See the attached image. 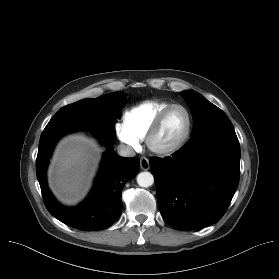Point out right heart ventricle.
<instances>
[{"mask_svg":"<svg viewBox=\"0 0 279 279\" xmlns=\"http://www.w3.org/2000/svg\"><path fill=\"white\" fill-rule=\"evenodd\" d=\"M173 103L163 100L144 101L123 115V125L138 139H144L154 120Z\"/></svg>","mask_w":279,"mask_h":279,"instance_id":"obj_1","label":"right heart ventricle"}]
</instances>
